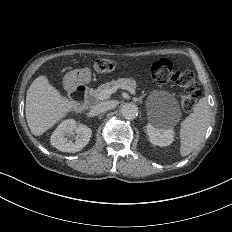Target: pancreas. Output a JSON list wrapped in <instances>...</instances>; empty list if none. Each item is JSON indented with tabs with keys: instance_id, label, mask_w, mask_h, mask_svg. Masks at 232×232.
Listing matches in <instances>:
<instances>
[{
	"instance_id": "pancreas-1",
	"label": "pancreas",
	"mask_w": 232,
	"mask_h": 232,
	"mask_svg": "<svg viewBox=\"0 0 232 232\" xmlns=\"http://www.w3.org/2000/svg\"><path fill=\"white\" fill-rule=\"evenodd\" d=\"M122 85H129L132 88H136L137 86L136 81L133 78H119L117 80H112L111 82H108L106 84H102L95 90L90 89V94L94 97L95 102H99L102 91L109 90L113 86H122Z\"/></svg>"
}]
</instances>
